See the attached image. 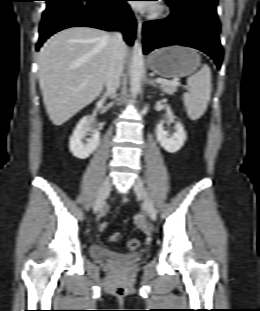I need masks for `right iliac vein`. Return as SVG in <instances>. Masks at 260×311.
<instances>
[{"mask_svg": "<svg viewBox=\"0 0 260 311\" xmlns=\"http://www.w3.org/2000/svg\"><path fill=\"white\" fill-rule=\"evenodd\" d=\"M110 189H111V180H110V177H106L96 197L94 207H93L94 211L99 210L103 206L104 201L110 192Z\"/></svg>", "mask_w": 260, "mask_h": 311, "instance_id": "1", "label": "right iliac vein"}]
</instances>
